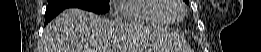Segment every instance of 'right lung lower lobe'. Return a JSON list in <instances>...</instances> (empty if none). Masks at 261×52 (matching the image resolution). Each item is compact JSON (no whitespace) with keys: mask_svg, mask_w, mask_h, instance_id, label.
<instances>
[{"mask_svg":"<svg viewBox=\"0 0 261 52\" xmlns=\"http://www.w3.org/2000/svg\"><path fill=\"white\" fill-rule=\"evenodd\" d=\"M65 8H69L66 6H47L45 12V24H47L54 16L58 15Z\"/></svg>","mask_w":261,"mask_h":52,"instance_id":"98d812e1","label":"right lung lower lobe"}]
</instances>
